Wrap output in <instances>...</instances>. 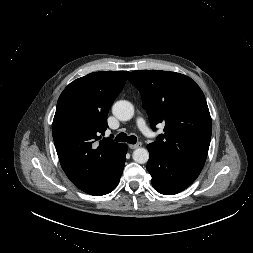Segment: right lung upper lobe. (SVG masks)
Returning a JSON list of instances; mask_svg holds the SVG:
<instances>
[{"instance_id": "obj_1", "label": "right lung upper lobe", "mask_w": 253, "mask_h": 253, "mask_svg": "<svg viewBox=\"0 0 253 253\" xmlns=\"http://www.w3.org/2000/svg\"><path fill=\"white\" fill-rule=\"evenodd\" d=\"M127 71L90 73L70 83L61 93L52 124L62 169L85 191L104 175L124 144L101 139L107 114L126 82Z\"/></svg>"}]
</instances>
